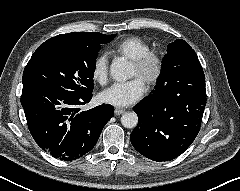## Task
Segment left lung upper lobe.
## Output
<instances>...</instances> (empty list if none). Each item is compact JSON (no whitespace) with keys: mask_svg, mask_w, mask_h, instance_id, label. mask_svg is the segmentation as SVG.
<instances>
[{"mask_svg":"<svg viewBox=\"0 0 240 191\" xmlns=\"http://www.w3.org/2000/svg\"><path fill=\"white\" fill-rule=\"evenodd\" d=\"M191 71L200 72L203 69L191 46L186 41L177 39L167 47L155 90L167 85L180 74Z\"/></svg>","mask_w":240,"mask_h":191,"instance_id":"obj_1","label":"left lung upper lobe"}]
</instances>
